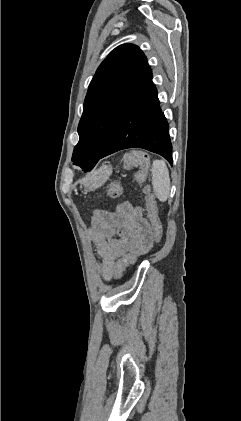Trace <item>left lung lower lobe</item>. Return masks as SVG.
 I'll list each match as a JSON object with an SVG mask.
<instances>
[{
  "label": "left lung lower lobe",
  "instance_id": "left-lung-lower-lobe-1",
  "mask_svg": "<svg viewBox=\"0 0 241 421\" xmlns=\"http://www.w3.org/2000/svg\"><path fill=\"white\" fill-rule=\"evenodd\" d=\"M134 147L157 153L172 164L169 126L160 108L149 66L129 99L105 151L95 162L84 164L82 169L90 171L101 158Z\"/></svg>",
  "mask_w": 241,
  "mask_h": 421
}]
</instances>
